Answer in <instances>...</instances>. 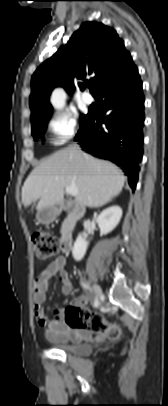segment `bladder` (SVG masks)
I'll list each match as a JSON object with an SVG mask.
<instances>
[{"instance_id":"31cf9c89","label":"bladder","mask_w":168,"mask_h":406,"mask_svg":"<svg viewBox=\"0 0 168 406\" xmlns=\"http://www.w3.org/2000/svg\"><path fill=\"white\" fill-rule=\"evenodd\" d=\"M52 344L66 353H71L77 356H86L92 352V346L86 342H53Z\"/></svg>"}]
</instances>
